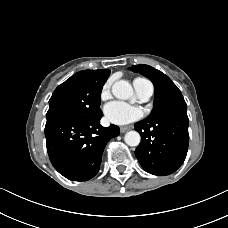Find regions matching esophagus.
<instances>
[{
  "mask_svg": "<svg viewBox=\"0 0 228 228\" xmlns=\"http://www.w3.org/2000/svg\"><path fill=\"white\" fill-rule=\"evenodd\" d=\"M129 130V127H120V132L125 133Z\"/></svg>",
  "mask_w": 228,
  "mask_h": 228,
  "instance_id": "34e87169",
  "label": "esophagus"
}]
</instances>
